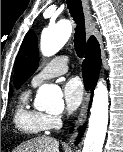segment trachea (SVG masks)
Masks as SVG:
<instances>
[{
  "label": "trachea",
  "instance_id": "obj_1",
  "mask_svg": "<svg viewBox=\"0 0 123 152\" xmlns=\"http://www.w3.org/2000/svg\"><path fill=\"white\" fill-rule=\"evenodd\" d=\"M69 12L77 24L74 34V46L79 58H83L86 47L84 15L81 0H66Z\"/></svg>",
  "mask_w": 123,
  "mask_h": 152
}]
</instances>
